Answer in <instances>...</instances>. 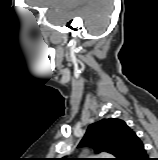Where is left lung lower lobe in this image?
<instances>
[{"label":"left lung lower lobe","mask_w":158,"mask_h":160,"mask_svg":"<svg viewBox=\"0 0 158 160\" xmlns=\"http://www.w3.org/2000/svg\"><path fill=\"white\" fill-rule=\"evenodd\" d=\"M120 160H150L144 149L142 141L137 135L132 133L125 152Z\"/></svg>","instance_id":"obj_1"}]
</instances>
